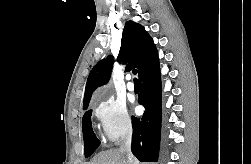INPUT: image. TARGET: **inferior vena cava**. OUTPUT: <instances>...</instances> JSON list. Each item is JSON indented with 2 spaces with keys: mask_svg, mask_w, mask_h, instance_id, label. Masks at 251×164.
Masks as SVG:
<instances>
[{
  "mask_svg": "<svg viewBox=\"0 0 251 164\" xmlns=\"http://www.w3.org/2000/svg\"><path fill=\"white\" fill-rule=\"evenodd\" d=\"M131 139H132V129H129L125 137L123 138L121 149L125 151L128 163L136 164L135 159L131 153Z\"/></svg>",
  "mask_w": 251,
  "mask_h": 164,
  "instance_id": "inferior-vena-cava-1",
  "label": "inferior vena cava"
}]
</instances>
